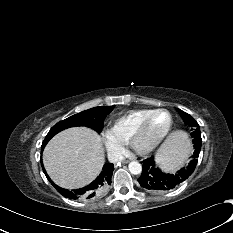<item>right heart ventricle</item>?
<instances>
[{"label":"right heart ventricle","mask_w":233,"mask_h":233,"mask_svg":"<svg viewBox=\"0 0 233 233\" xmlns=\"http://www.w3.org/2000/svg\"><path fill=\"white\" fill-rule=\"evenodd\" d=\"M151 110L150 108H141L126 112L114 120L108 134L121 145L129 144L130 138L139 122Z\"/></svg>","instance_id":"right-heart-ventricle-1"}]
</instances>
